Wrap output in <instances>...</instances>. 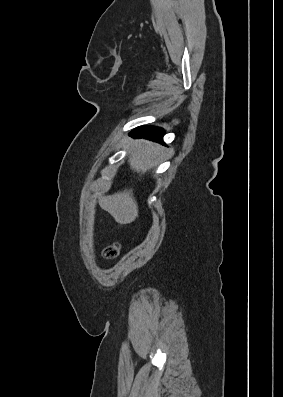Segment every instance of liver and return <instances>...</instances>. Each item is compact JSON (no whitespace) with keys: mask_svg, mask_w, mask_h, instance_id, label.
<instances>
[{"mask_svg":"<svg viewBox=\"0 0 283 397\" xmlns=\"http://www.w3.org/2000/svg\"><path fill=\"white\" fill-rule=\"evenodd\" d=\"M163 148L145 140H138L131 146L128 163L130 168L144 174L156 164V159ZM100 207L107 211L117 223L130 224L138 217V206L132 190H124L99 199Z\"/></svg>","mask_w":283,"mask_h":397,"instance_id":"1","label":"liver"}]
</instances>
